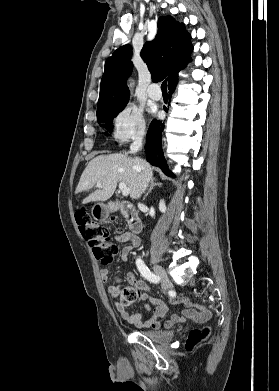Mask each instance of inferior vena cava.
I'll return each instance as SVG.
<instances>
[{
  "label": "inferior vena cava",
  "mask_w": 279,
  "mask_h": 391,
  "mask_svg": "<svg viewBox=\"0 0 279 391\" xmlns=\"http://www.w3.org/2000/svg\"><path fill=\"white\" fill-rule=\"evenodd\" d=\"M144 134H145V132L141 131L135 137V139L133 140L132 145L130 146V152L131 153H136L141 148Z\"/></svg>",
  "instance_id": "obj_1"
}]
</instances>
